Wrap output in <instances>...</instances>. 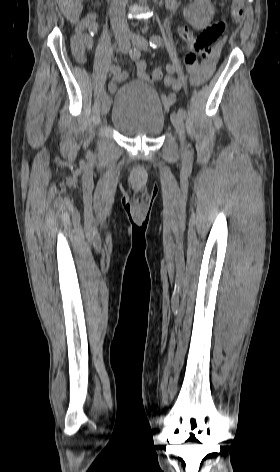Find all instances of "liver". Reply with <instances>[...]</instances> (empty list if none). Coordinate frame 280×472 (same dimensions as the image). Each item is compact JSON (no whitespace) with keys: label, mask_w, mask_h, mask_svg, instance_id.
I'll return each mask as SVG.
<instances>
[{"label":"liver","mask_w":280,"mask_h":472,"mask_svg":"<svg viewBox=\"0 0 280 472\" xmlns=\"http://www.w3.org/2000/svg\"><path fill=\"white\" fill-rule=\"evenodd\" d=\"M83 0H57L58 6L68 21L76 24L83 10Z\"/></svg>","instance_id":"obj_1"}]
</instances>
